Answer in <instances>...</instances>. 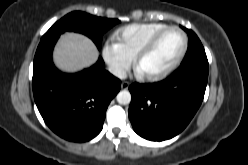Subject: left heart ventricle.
Instances as JSON below:
<instances>
[{
	"mask_svg": "<svg viewBox=\"0 0 248 165\" xmlns=\"http://www.w3.org/2000/svg\"><path fill=\"white\" fill-rule=\"evenodd\" d=\"M183 37L178 31L165 33L139 62L138 70L142 74H150L166 67L180 52Z\"/></svg>",
	"mask_w": 248,
	"mask_h": 165,
	"instance_id": "obj_1",
	"label": "left heart ventricle"
}]
</instances>
